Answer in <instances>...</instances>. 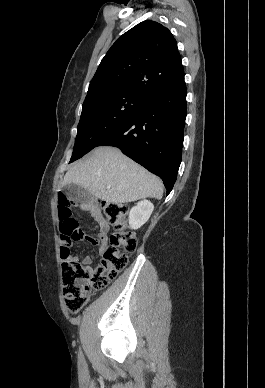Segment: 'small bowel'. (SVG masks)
I'll return each mask as SVG.
<instances>
[{
    "instance_id": "1",
    "label": "small bowel",
    "mask_w": 265,
    "mask_h": 388,
    "mask_svg": "<svg viewBox=\"0 0 265 388\" xmlns=\"http://www.w3.org/2000/svg\"><path fill=\"white\" fill-rule=\"evenodd\" d=\"M77 206L79 209L89 212L92 218L98 223L100 230L97 238L86 236L85 240L93 245H98L99 253L102 254L108 246V233L110 229L108 222L104 219L99 206L95 202H80ZM91 263L92 259L89 256L84 257L81 261V264L87 266H90Z\"/></svg>"
}]
</instances>
